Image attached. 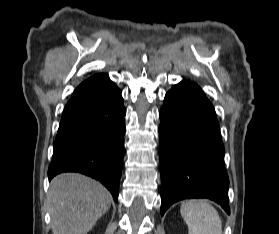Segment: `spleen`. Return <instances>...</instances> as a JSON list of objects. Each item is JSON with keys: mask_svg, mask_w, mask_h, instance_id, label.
<instances>
[{"mask_svg": "<svg viewBox=\"0 0 279 234\" xmlns=\"http://www.w3.org/2000/svg\"><path fill=\"white\" fill-rule=\"evenodd\" d=\"M181 215L188 234H222L218 212L205 200H190L182 204Z\"/></svg>", "mask_w": 279, "mask_h": 234, "instance_id": "3e777b00", "label": "spleen"}]
</instances>
